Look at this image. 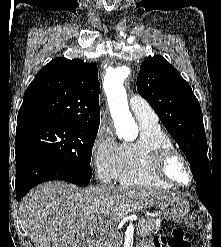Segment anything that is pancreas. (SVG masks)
<instances>
[{"mask_svg": "<svg viewBox=\"0 0 221 247\" xmlns=\"http://www.w3.org/2000/svg\"><path fill=\"white\" fill-rule=\"evenodd\" d=\"M158 228L154 218L148 217L147 219L141 218L138 221V226L136 228L137 234L141 237L151 236L155 230ZM99 247H119V242L117 238L111 237L101 242Z\"/></svg>", "mask_w": 221, "mask_h": 247, "instance_id": "cf45deb5", "label": "pancreas"}]
</instances>
